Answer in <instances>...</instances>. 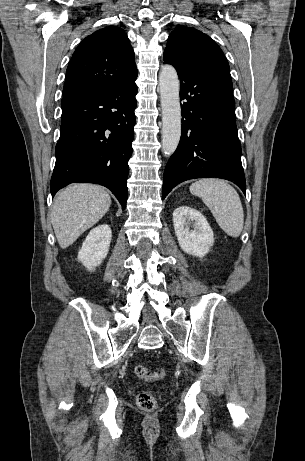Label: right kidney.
I'll return each mask as SVG.
<instances>
[{
	"instance_id": "obj_1",
	"label": "right kidney",
	"mask_w": 305,
	"mask_h": 461,
	"mask_svg": "<svg viewBox=\"0 0 305 461\" xmlns=\"http://www.w3.org/2000/svg\"><path fill=\"white\" fill-rule=\"evenodd\" d=\"M112 232L107 224L93 228L87 235L78 253V261L92 271L106 258L111 242Z\"/></svg>"
}]
</instances>
